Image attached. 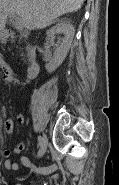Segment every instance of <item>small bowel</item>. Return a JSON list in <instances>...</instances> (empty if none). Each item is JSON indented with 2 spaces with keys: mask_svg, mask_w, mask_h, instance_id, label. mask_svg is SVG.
<instances>
[{
  "mask_svg": "<svg viewBox=\"0 0 119 185\" xmlns=\"http://www.w3.org/2000/svg\"><path fill=\"white\" fill-rule=\"evenodd\" d=\"M0 68L2 72V80L5 83H12V84H23V82L17 78L14 74V71L12 67L4 60L0 61ZM3 114L6 115L5 109H3ZM17 121L19 123H22L24 121V118L22 115H19L17 117ZM3 130L5 133L10 134L13 131V121L10 118H5L4 123H3ZM26 149L25 144L23 143H17L16 146L13 149L14 153L20 154ZM11 151L10 150H4L3 156H4V166L7 170H14L17 171L19 170V165L15 162L11 161ZM21 163L24 166H31V163L29 159L26 156H21L20 158ZM57 166L56 165H51L48 167H35L32 166V170L35 173L38 174H47L49 172H52L56 170Z\"/></svg>",
  "mask_w": 119,
  "mask_h": 185,
  "instance_id": "c3829d8e",
  "label": "small bowel"
}]
</instances>
